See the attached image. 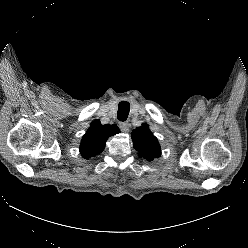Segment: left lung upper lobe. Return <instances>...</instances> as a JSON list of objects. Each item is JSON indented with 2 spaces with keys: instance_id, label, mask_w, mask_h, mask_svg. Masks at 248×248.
I'll return each instance as SVG.
<instances>
[{
  "instance_id": "obj_1",
  "label": "left lung upper lobe",
  "mask_w": 248,
  "mask_h": 248,
  "mask_svg": "<svg viewBox=\"0 0 248 248\" xmlns=\"http://www.w3.org/2000/svg\"><path fill=\"white\" fill-rule=\"evenodd\" d=\"M134 148L147 161H152L161 155L157 138L151 133L147 124L137 127L132 132Z\"/></svg>"
}]
</instances>
